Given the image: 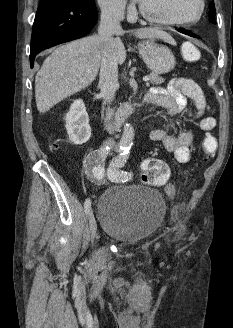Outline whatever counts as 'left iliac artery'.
Segmentation results:
<instances>
[{
    "label": "left iliac artery",
    "mask_w": 233,
    "mask_h": 328,
    "mask_svg": "<svg viewBox=\"0 0 233 328\" xmlns=\"http://www.w3.org/2000/svg\"><path fill=\"white\" fill-rule=\"evenodd\" d=\"M130 147H127L123 152H121L117 157L113 159L108 170L107 176L111 182L124 183L131 178V174L126 171L121 170L128 159Z\"/></svg>",
    "instance_id": "left-iliac-artery-1"
}]
</instances>
